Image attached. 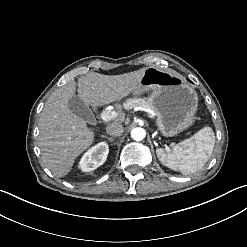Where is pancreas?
<instances>
[{
  "label": "pancreas",
  "instance_id": "pancreas-1",
  "mask_svg": "<svg viewBox=\"0 0 247 247\" xmlns=\"http://www.w3.org/2000/svg\"><path fill=\"white\" fill-rule=\"evenodd\" d=\"M123 107L126 110L133 109L135 107L151 108L149 101L146 98H129L123 103Z\"/></svg>",
  "mask_w": 247,
  "mask_h": 247
}]
</instances>
